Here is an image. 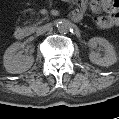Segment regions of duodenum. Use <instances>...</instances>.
<instances>
[{
	"label": "duodenum",
	"instance_id": "1",
	"mask_svg": "<svg viewBox=\"0 0 119 119\" xmlns=\"http://www.w3.org/2000/svg\"><path fill=\"white\" fill-rule=\"evenodd\" d=\"M70 17L73 21L78 22V21L81 20L82 15L79 14L78 12H74V13L71 14ZM14 36H15L16 39L22 40L27 36V31H26L25 28L19 27L15 30Z\"/></svg>",
	"mask_w": 119,
	"mask_h": 119
}]
</instances>
